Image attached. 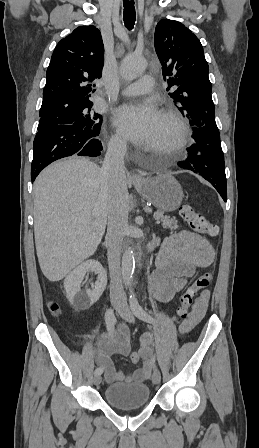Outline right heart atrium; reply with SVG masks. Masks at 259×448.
Returning a JSON list of instances; mask_svg holds the SVG:
<instances>
[{
	"instance_id": "obj_1",
	"label": "right heart atrium",
	"mask_w": 259,
	"mask_h": 448,
	"mask_svg": "<svg viewBox=\"0 0 259 448\" xmlns=\"http://www.w3.org/2000/svg\"><path fill=\"white\" fill-rule=\"evenodd\" d=\"M111 145L115 149H124L126 147L125 139L118 133H115L111 139Z\"/></svg>"
}]
</instances>
